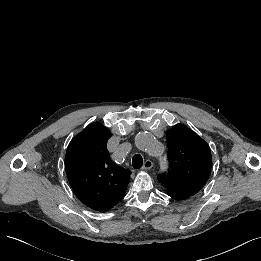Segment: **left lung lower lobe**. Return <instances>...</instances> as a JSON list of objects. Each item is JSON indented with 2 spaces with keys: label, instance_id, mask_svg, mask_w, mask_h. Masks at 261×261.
Instances as JSON below:
<instances>
[{
  "label": "left lung lower lobe",
  "instance_id": "obj_1",
  "mask_svg": "<svg viewBox=\"0 0 261 261\" xmlns=\"http://www.w3.org/2000/svg\"><path fill=\"white\" fill-rule=\"evenodd\" d=\"M169 196H171L170 194H168ZM173 198H178V199H184V198H181V197H177V196H171Z\"/></svg>",
  "mask_w": 261,
  "mask_h": 261
}]
</instances>
